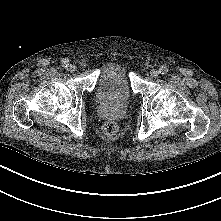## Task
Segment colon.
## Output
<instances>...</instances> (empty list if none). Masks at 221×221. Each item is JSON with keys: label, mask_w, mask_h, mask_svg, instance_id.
Masks as SVG:
<instances>
[{"label": "colon", "mask_w": 221, "mask_h": 221, "mask_svg": "<svg viewBox=\"0 0 221 221\" xmlns=\"http://www.w3.org/2000/svg\"><path fill=\"white\" fill-rule=\"evenodd\" d=\"M117 130H118V126L116 122L112 120L105 122V124L103 125V132L107 136H113L114 134H116Z\"/></svg>", "instance_id": "obj_1"}]
</instances>
